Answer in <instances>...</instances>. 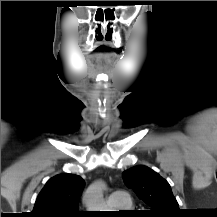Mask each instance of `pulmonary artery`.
I'll use <instances>...</instances> for the list:
<instances>
[{
  "label": "pulmonary artery",
  "instance_id": "e3ab8cb5",
  "mask_svg": "<svg viewBox=\"0 0 217 217\" xmlns=\"http://www.w3.org/2000/svg\"><path fill=\"white\" fill-rule=\"evenodd\" d=\"M108 203L116 209H122L131 203V199L126 191L117 190L108 196Z\"/></svg>",
  "mask_w": 217,
  "mask_h": 217
}]
</instances>
